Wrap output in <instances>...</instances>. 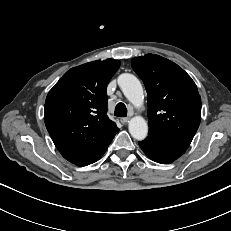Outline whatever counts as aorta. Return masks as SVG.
<instances>
[{
	"label": "aorta",
	"instance_id": "aorta-1",
	"mask_svg": "<svg viewBox=\"0 0 231 231\" xmlns=\"http://www.w3.org/2000/svg\"><path fill=\"white\" fill-rule=\"evenodd\" d=\"M118 85L126 98L135 106H140L143 102V88L136 76L129 73L121 74L118 77ZM129 132L137 140H143L148 134V124L141 116H135L129 121Z\"/></svg>",
	"mask_w": 231,
	"mask_h": 231
}]
</instances>
